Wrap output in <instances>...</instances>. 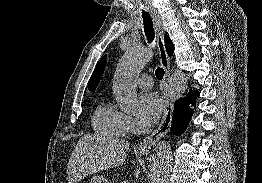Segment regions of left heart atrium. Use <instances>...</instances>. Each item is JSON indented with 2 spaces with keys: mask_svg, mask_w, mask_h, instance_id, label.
I'll return each mask as SVG.
<instances>
[{
  "mask_svg": "<svg viewBox=\"0 0 262 183\" xmlns=\"http://www.w3.org/2000/svg\"><path fill=\"white\" fill-rule=\"evenodd\" d=\"M162 103L156 93H145L139 99V122L145 127H151L159 119Z\"/></svg>",
  "mask_w": 262,
  "mask_h": 183,
  "instance_id": "obj_1",
  "label": "left heart atrium"
}]
</instances>
